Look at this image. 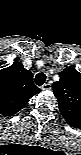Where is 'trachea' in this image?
I'll return each instance as SVG.
<instances>
[{
  "instance_id": "obj_1",
  "label": "trachea",
  "mask_w": 81,
  "mask_h": 155,
  "mask_svg": "<svg viewBox=\"0 0 81 155\" xmlns=\"http://www.w3.org/2000/svg\"><path fill=\"white\" fill-rule=\"evenodd\" d=\"M46 81V75L44 73H38L35 77V83L38 86H41L45 83Z\"/></svg>"
}]
</instances>
